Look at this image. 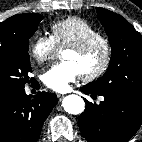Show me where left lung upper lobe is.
I'll return each instance as SVG.
<instances>
[{
    "instance_id": "obj_1",
    "label": "left lung upper lobe",
    "mask_w": 142,
    "mask_h": 142,
    "mask_svg": "<svg viewBox=\"0 0 142 142\" xmlns=\"http://www.w3.org/2000/svg\"><path fill=\"white\" fill-rule=\"evenodd\" d=\"M112 48L108 70L87 84L96 93H128L142 97V36L122 16L97 8Z\"/></svg>"
}]
</instances>
